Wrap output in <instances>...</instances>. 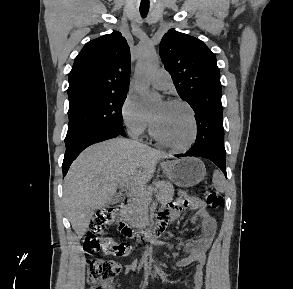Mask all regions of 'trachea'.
Masks as SVG:
<instances>
[{
  "label": "trachea",
  "instance_id": "1",
  "mask_svg": "<svg viewBox=\"0 0 293 289\" xmlns=\"http://www.w3.org/2000/svg\"><path fill=\"white\" fill-rule=\"evenodd\" d=\"M149 9H140V13L142 17H146L148 14Z\"/></svg>",
  "mask_w": 293,
  "mask_h": 289
}]
</instances>
